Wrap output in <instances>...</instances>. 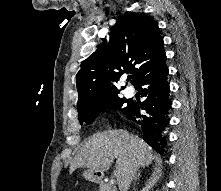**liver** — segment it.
Segmentation results:
<instances>
[{"instance_id":"obj_1","label":"liver","mask_w":221,"mask_h":191,"mask_svg":"<svg viewBox=\"0 0 221 191\" xmlns=\"http://www.w3.org/2000/svg\"><path fill=\"white\" fill-rule=\"evenodd\" d=\"M116 160L114 176L120 186L130 171L148 166L152 149L138 136L124 130H108L94 134L84 141L70 163V173L88 168L103 173Z\"/></svg>"}]
</instances>
